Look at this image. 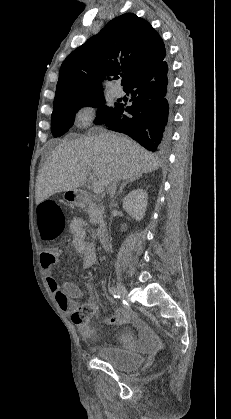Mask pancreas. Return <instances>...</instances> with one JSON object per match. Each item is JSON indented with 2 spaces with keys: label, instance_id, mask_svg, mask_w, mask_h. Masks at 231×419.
Returning <instances> with one entry per match:
<instances>
[{
  "label": "pancreas",
  "instance_id": "cf45deb5",
  "mask_svg": "<svg viewBox=\"0 0 231 419\" xmlns=\"http://www.w3.org/2000/svg\"><path fill=\"white\" fill-rule=\"evenodd\" d=\"M88 205L89 206L87 212L90 218V223H99L103 216V207L98 204L96 197H90Z\"/></svg>",
  "mask_w": 231,
  "mask_h": 419
}]
</instances>
